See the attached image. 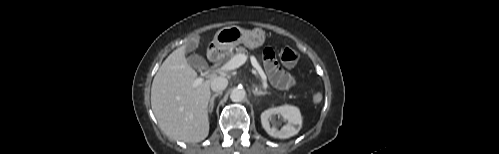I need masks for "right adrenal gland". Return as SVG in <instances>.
Segmentation results:
<instances>
[{"mask_svg": "<svg viewBox=\"0 0 499 154\" xmlns=\"http://www.w3.org/2000/svg\"><path fill=\"white\" fill-rule=\"evenodd\" d=\"M220 95H222V92H217V93H215V94H213V95L211 96L210 101H209V106H208V111H209L210 113H212V111H213V108H214V100H215V98H216L217 96H220Z\"/></svg>", "mask_w": 499, "mask_h": 154, "instance_id": "2a0ac1e0", "label": "right adrenal gland"}]
</instances>
